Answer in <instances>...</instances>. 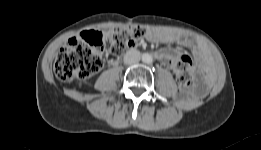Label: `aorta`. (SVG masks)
Returning a JSON list of instances; mask_svg holds the SVG:
<instances>
[{
    "label": "aorta",
    "instance_id": "762f6f07",
    "mask_svg": "<svg viewBox=\"0 0 261 150\" xmlns=\"http://www.w3.org/2000/svg\"><path fill=\"white\" fill-rule=\"evenodd\" d=\"M142 61L144 62V63H147V64H150V63H152V61H153V58H152V56L150 55V54H144L143 56H142Z\"/></svg>",
    "mask_w": 261,
    "mask_h": 150
}]
</instances>
